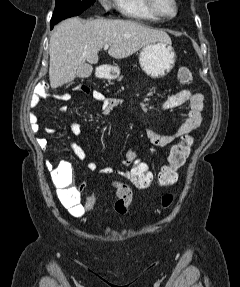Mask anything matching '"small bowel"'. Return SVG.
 I'll list each match as a JSON object with an SVG mask.
<instances>
[{
  "mask_svg": "<svg viewBox=\"0 0 240 287\" xmlns=\"http://www.w3.org/2000/svg\"><path fill=\"white\" fill-rule=\"evenodd\" d=\"M80 91L85 94H91V96L101 104V112L103 115H109L112 110L119 105L122 104V99L119 98H109L105 96L98 90L91 91L89 87L82 85ZM59 101H69L71 99V95L68 93L56 94L54 95ZM40 101V96L38 94H34L30 100V106L32 108L36 107ZM180 108L187 109V118L181 122L175 129L174 132L171 133H158L153 128H147L146 135L149 138L152 145L156 147H165L169 145L176 137H181L183 135L191 134L195 132L202 123V112L204 109V96L200 93H192L189 90H181L177 93L168 97L165 102L162 104V109L164 110H175ZM60 112H66V106H60L58 108ZM29 120L32 124L33 132L39 131L38 125V117L35 113L30 112ZM70 129L74 135H81L82 129L80 125L76 121L70 122ZM44 131L47 134H55L57 130L52 127H45ZM38 144L41 148H45L47 145V141L45 138H39ZM69 148L72 153L80 160H87L88 154L87 152L77 143L70 142ZM138 157V154L132 149H127L124 153V158L121 163L125 169L115 170L113 167H105L99 169L98 165L93 161L87 162V167L91 171H96L101 175H109L115 173L117 176L121 178H126L127 168L131 164V162ZM60 199L63 205L68 209L71 215L76 218H81L85 214V208L81 203L80 192L76 189L75 192L71 194H62L60 191Z\"/></svg>",
  "mask_w": 240,
  "mask_h": 287,
  "instance_id": "c3829d8e",
  "label": "small bowel"
}]
</instances>
